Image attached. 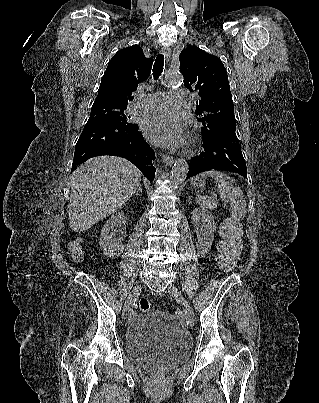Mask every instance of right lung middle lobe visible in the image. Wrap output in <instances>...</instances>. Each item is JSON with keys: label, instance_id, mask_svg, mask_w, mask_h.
Returning <instances> with one entry per match:
<instances>
[{"label": "right lung middle lobe", "instance_id": "obj_1", "mask_svg": "<svg viewBox=\"0 0 319 403\" xmlns=\"http://www.w3.org/2000/svg\"><path fill=\"white\" fill-rule=\"evenodd\" d=\"M126 105L94 103L90 114L89 122L107 121L122 124H131L128 122L129 116L124 114Z\"/></svg>", "mask_w": 319, "mask_h": 403}]
</instances>
